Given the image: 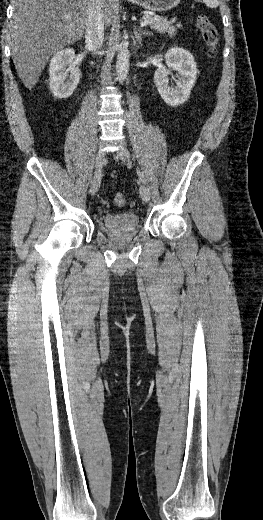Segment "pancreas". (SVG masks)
<instances>
[{
	"label": "pancreas",
	"instance_id": "obj_1",
	"mask_svg": "<svg viewBox=\"0 0 263 520\" xmlns=\"http://www.w3.org/2000/svg\"><path fill=\"white\" fill-rule=\"evenodd\" d=\"M142 19L144 21L149 20L150 28L154 29L160 33L167 32V33L173 34V33H175L177 28L182 27V25L180 23L176 24L175 26L173 25L176 21V18H172L171 20H168L167 17L145 15V16H143Z\"/></svg>",
	"mask_w": 263,
	"mask_h": 520
}]
</instances>
